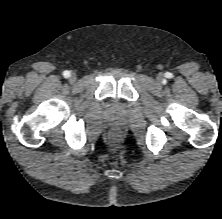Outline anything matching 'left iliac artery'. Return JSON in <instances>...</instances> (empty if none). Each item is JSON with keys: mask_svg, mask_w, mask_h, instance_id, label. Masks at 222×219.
Masks as SVG:
<instances>
[{"mask_svg": "<svg viewBox=\"0 0 222 219\" xmlns=\"http://www.w3.org/2000/svg\"><path fill=\"white\" fill-rule=\"evenodd\" d=\"M167 77H170L171 76V74L170 73H167V75H166Z\"/></svg>", "mask_w": 222, "mask_h": 219, "instance_id": "1", "label": "left iliac artery"}]
</instances>
